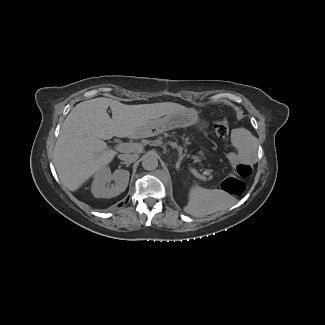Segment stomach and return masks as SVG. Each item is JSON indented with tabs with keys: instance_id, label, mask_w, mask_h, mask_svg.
I'll return each mask as SVG.
<instances>
[{
	"instance_id": "stomach-1",
	"label": "stomach",
	"mask_w": 325,
	"mask_h": 325,
	"mask_svg": "<svg viewBox=\"0 0 325 325\" xmlns=\"http://www.w3.org/2000/svg\"><path fill=\"white\" fill-rule=\"evenodd\" d=\"M197 122V113L176 112L166 115L162 119L151 121L143 127L140 135L149 137L157 134H165L176 131L178 127H187Z\"/></svg>"
}]
</instances>
